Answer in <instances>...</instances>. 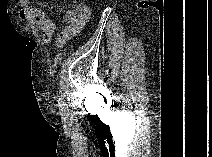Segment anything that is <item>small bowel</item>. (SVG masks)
Masks as SVG:
<instances>
[{
	"mask_svg": "<svg viewBox=\"0 0 212 157\" xmlns=\"http://www.w3.org/2000/svg\"><path fill=\"white\" fill-rule=\"evenodd\" d=\"M18 15L28 24L38 25L42 41L48 44L52 41L56 30V21L50 18L43 9L31 6L26 0H19ZM90 11L86 7L71 10L65 13L63 21L67 27L60 33L59 42H62L76 34L90 18Z\"/></svg>",
	"mask_w": 212,
	"mask_h": 157,
	"instance_id": "c3829d8e",
	"label": "small bowel"
}]
</instances>
